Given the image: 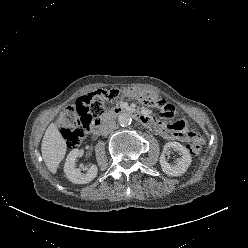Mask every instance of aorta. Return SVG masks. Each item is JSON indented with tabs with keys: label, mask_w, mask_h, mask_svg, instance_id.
<instances>
[{
	"label": "aorta",
	"mask_w": 248,
	"mask_h": 248,
	"mask_svg": "<svg viewBox=\"0 0 248 248\" xmlns=\"http://www.w3.org/2000/svg\"><path fill=\"white\" fill-rule=\"evenodd\" d=\"M131 117L126 113H122L118 116V122L122 127H126L131 124Z\"/></svg>",
	"instance_id": "762f6f07"
}]
</instances>
